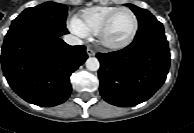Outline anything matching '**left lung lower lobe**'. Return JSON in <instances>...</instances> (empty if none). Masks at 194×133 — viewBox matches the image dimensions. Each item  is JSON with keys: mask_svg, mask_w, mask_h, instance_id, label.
Masks as SVG:
<instances>
[{"mask_svg": "<svg viewBox=\"0 0 194 133\" xmlns=\"http://www.w3.org/2000/svg\"><path fill=\"white\" fill-rule=\"evenodd\" d=\"M97 57L100 93L105 101L120 107L148 100L164 83L170 65L168 42L157 20L139 27L126 48Z\"/></svg>", "mask_w": 194, "mask_h": 133, "instance_id": "obj_1", "label": "left lung lower lobe"}]
</instances>
